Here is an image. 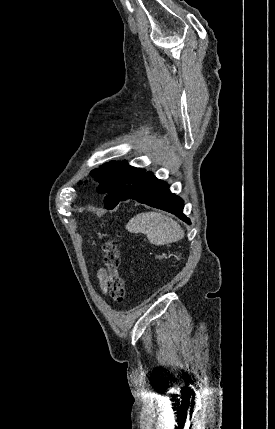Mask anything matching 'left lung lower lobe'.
<instances>
[{"label": "left lung lower lobe", "mask_w": 275, "mask_h": 429, "mask_svg": "<svg viewBox=\"0 0 275 429\" xmlns=\"http://www.w3.org/2000/svg\"><path fill=\"white\" fill-rule=\"evenodd\" d=\"M108 194L116 197L115 188H110ZM128 199L171 212L190 224L189 219L183 214L184 204L182 199L172 194L168 184L156 178L150 171H146L139 179L134 181L121 197V201Z\"/></svg>", "instance_id": "0a47b994"}]
</instances>
